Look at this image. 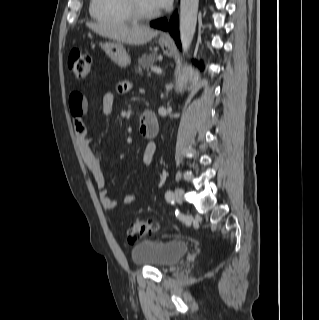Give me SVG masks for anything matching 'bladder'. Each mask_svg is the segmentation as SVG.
Wrapping results in <instances>:
<instances>
[{
	"mask_svg": "<svg viewBox=\"0 0 319 320\" xmlns=\"http://www.w3.org/2000/svg\"><path fill=\"white\" fill-rule=\"evenodd\" d=\"M187 251L182 241L147 238L132 248L131 258L135 265L161 269L178 263Z\"/></svg>",
	"mask_w": 319,
	"mask_h": 320,
	"instance_id": "31cf9c89",
	"label": "bladder"
}]
</instances>
